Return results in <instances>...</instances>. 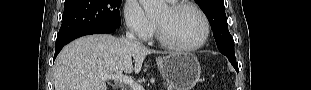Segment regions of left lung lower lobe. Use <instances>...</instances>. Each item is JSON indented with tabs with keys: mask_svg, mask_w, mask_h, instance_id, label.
<instances>
[{
	"mask_svg": "<svg viewBox=\"0 0 311 90\" xmlns=\"http://www.w3.org/2000/svg\"><path fill=\"white\" fill-rule=\"evenodd\" d=\"M232 63V65L234 66V68L238 71V65L236 63V61L232 60L230 61Z\"/></svg>",
	"mask_w": 311,
	"mask_h": 90,
	"instance_id": "0a47b994",
	"label": "left lung lower lobe"
}]
</instances>
